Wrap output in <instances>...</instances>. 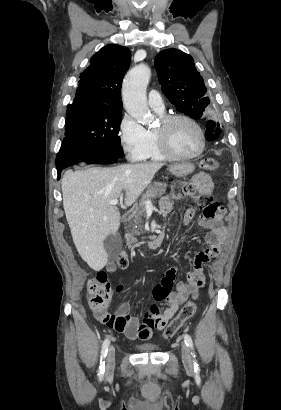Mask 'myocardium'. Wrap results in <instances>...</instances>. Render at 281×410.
<instances>
[{
	"label": "myocardium",
	"mask_w": 281,
	"mask_h": 410,
	"mask_svg": "<svg viewBox=\"0 0 281 410\" xmlns=\"http://www.w3.org/2000/svg\"><path fill=\"white\" fill-rule=\"evenodd\" d=\"M179 120L189 122L191 125H193L197 129L200 135L201 146L199 150L192 155L178 154L172 149L171 145L169 144V141L167 138V131L174 122L179 121ZM155 136H156V140H157V143L161 151L164 153V155L168 159H172V160L195 159L199 157L200 155H202V153L205 151V148H206V135H205L203 128L194 118L188 115H185V114H172V115H166V116L161 117L159 128L155 130Z\"/></svg>",
	"instance_id": "obj_1"
}]
</instances>
